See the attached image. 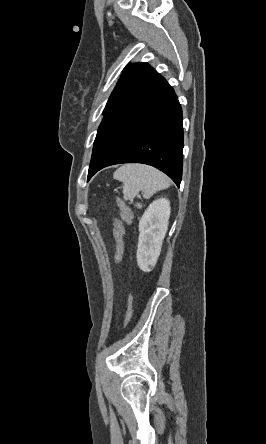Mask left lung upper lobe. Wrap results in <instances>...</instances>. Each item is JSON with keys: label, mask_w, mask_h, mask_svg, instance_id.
Here are the masks:
<instances>
[{"label": "left lung upper lobe", "mask_w": 266, "mask_h": 444, "mask_svg": "<svg viewBox=\"0 0 266 444\" xmlns=\"http://www.w3.org/2000/svg\"><path fill=\"white\" fill-rule=\"evenodd\" d=\"M163 80L164 78L147 63L128 66L108 99L102 123L111 114L132 103Z\"/></svg>", "instance_id": "1"}]
</instances>
